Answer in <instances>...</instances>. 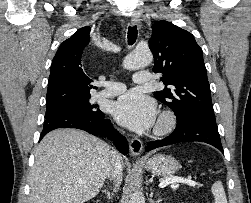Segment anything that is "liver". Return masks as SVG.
Returning <instances> with one entry per match:
<instances>
[{"label":"liver","instance_id":"obj_1","mask_svg":"<svg viewBox=\"0 0 251 203\" xmlns=\"http://www.w3.org/2000/svg\"><path fill=\"white\" fill-rule=\"evenodd\" d=\"M112 150L81 130L57 129L35 149L29 203H85L102 188Z\"/></svg>","mask_w":251,"mask_h":203}]
</instances>
